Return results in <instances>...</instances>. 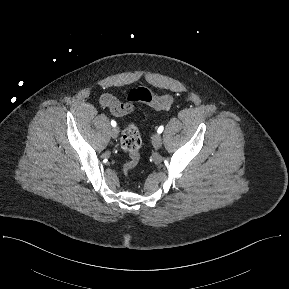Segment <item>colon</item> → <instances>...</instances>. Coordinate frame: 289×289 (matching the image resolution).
<instances>
[{"instance_id":"1","label":"colon","mask_w":289,"mask_h":289,"mask_svg":"<svg viewBox=\"0 0 289 289\" xmlns=\"http://www.w3.org/2000/svg\"><path fill=\"white\" fill-rule=\"evenodd\" d=\"M130 102H141L156 109H166L171 106L173 98L170 95H156L144 87H139L130 91L128 95ZM122 148L128 152L129 161L123 166V172L128 175L129 172L138 164L141 147V137L135 122L129 121L122 133Z\"/></svg>"}]
</instances>
